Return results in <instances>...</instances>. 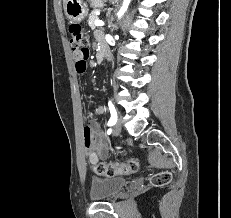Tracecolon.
Instances as JSON below:
<instances>
[{
    "label": "colon",
    "mask_w": 231,
    "mask_h": 218,
    "mask_svg": "<svg viewBox=\"0 0 231 218\" xmlns=\"http://www.w3.org/2000/svg\"><path fill=\"white\" fill-rule=\"evenodd\" d=\"M70 46L73 51H77L82 56H89L88 37L83 28L73 23L68 28ZM139 169V160L129 158L122 162L96 163L93 165V171L98 175L113 177L117 175H126L135 173ZM172 180V174L168 171H161L151 176V183L154 186H164Z\"/></svg>",
    "instance_id": "5ec220e1"
}]
</instances>
